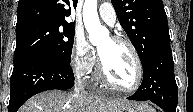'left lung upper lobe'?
Returning <instances> with one entry per match:
<instances>
[{
	"label": "left lung upper lobe",
	"mask_w": 193,
	"mask_h": 112,
	"mask_svg": "<svg viewBox=\"0 0 193 112\" xmlns=\"http://www.w3.org/2000/svg\"><path fill=\"white\" fill-rule=\"evenodd\" d=\"M121 26L134 45L142 65L151 52L170 41L162 0H111Z\"/></svg>",
	"instance_id": "5c2ea615"
}]
</instances>
